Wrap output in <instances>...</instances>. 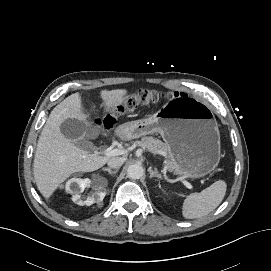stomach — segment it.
<instances>
[{
  "instance_id": "obj_1",
  "label": "stomach",
  "mask_w": 271,
  "mask_h": 271,
  "mask_svg": "<svg viewBox=\"0 0 271 271\" xmlns=\"http://www.w3.org/2000/svg\"><path fill=\"white\" fill-rule=\"evenodd\" d=\"M117 132L125 139L160 133L170 161L177 165L171 171L184 178L203 177L220 160L217 121L207 105L190 97L169 100L153 115L125 123Z\"/></svg>"
}]
</instances>
